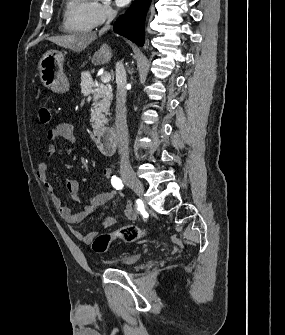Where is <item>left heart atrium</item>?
I'll use <instances>...</instances> for the list:
<instances>
[{"label": "left heart atrium", "mask_w": 285, "mask_h": 335, "mask_svg": "<svg viewBox=\"0 0 285 335\" xmlns=\"http://www.w3.org/2000/svg\"><path fill=\"white\" fill-rule=\"evenodd\" d=\"M130 1H116L117 5L120 7H124L129 4Z\"/></svg>", "instance_id": "39dd6f15"}]
</instances>
